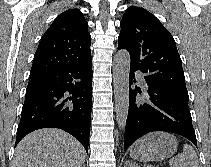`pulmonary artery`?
Listing matches in <instances>:
<instances>
[{
  "instance_id": "obj_1",
  "label": "pulmonary artery",
  "mask_w": 211,
  "mask_h": 167,
  "mask_svg": "<svg viewBox=\"0 0 211 167\" xmlns=\"http://www.w3.org/2000/svg\"><path fill=\"white\" fill-rule=\"evenodd\" d=\"M139 80H140L142 85H144V86L146 85L145 79L142 75L139 76Z\"/></svg>"
}]
</instances>
